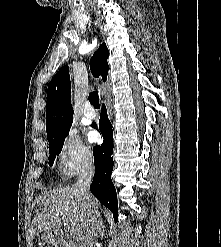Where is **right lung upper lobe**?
Returning a JSON list of instances; mask_svg holds the SVG:
<instances>
[{
	"label": "right lung upper lobe",
	"instance_id": "1",
	"mask_svg": "<svg viewBox=\"0 0 221 247\" xmlns=\"http://www.w3.org/2000/svg\"><path fill=\"white\" fill-rule=\"evenodd\" d=\"M109 50L105 43L100 45L90 60L94 77L102 76L106 81ZM73 108L71 105V82L68 66L62 67L48 86L46 105L47 138L56 136L72 125Z\"/></svg>",
	"mask_w": 221,
	"mask_h": 247
}]
</instances>
